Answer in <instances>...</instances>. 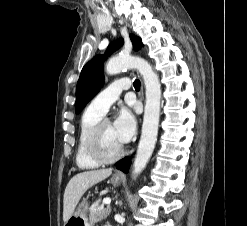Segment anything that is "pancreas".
<instances>
[{"label": "pancreas", "mask_w": 247, "mask_h": 226, "mask_svg": "<svg viewBox=\"0 0 247 226\" xmlns=\"http://www.w3.org/2000/svg\"><path fill=\"white\" fill-rule=\"evenodd\" d=\"M110 212H111L110 206L104 208L103 205L99 204V202L94 203L92 208L90 209L89 221L91 223L102 221L110 214Z\"/></svg>", "instance_id": "1"}]
</instances>
